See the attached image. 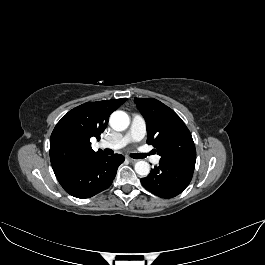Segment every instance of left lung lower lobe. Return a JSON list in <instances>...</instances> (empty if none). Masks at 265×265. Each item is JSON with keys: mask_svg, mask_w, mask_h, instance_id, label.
Wrapping results in <instances>:
<instances>
[{"mask_svg": "<svg viewBox=\"0 0 265 265\" xmlns=\"http://www.w3.org/2000/svg\"><path fill=\"white\" fill-rule=\"evenodd\" d=\"M194 168L195 161H160L147 177L141 179V183L159 197L172 198L188 186Z\"/></svg>", "mask_w": 265, "mask_h": 265, "instance_id": "0a47b994", "label": "left lung lower lobe"}]
</instances>
